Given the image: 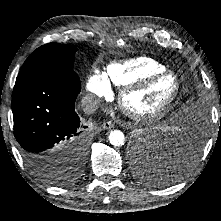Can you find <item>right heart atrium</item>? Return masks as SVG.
<instances>
[{"mask_svg":"<svg viewBox=\"0 0 221 221\" xmlns=\"http://www.w3.org/2000/svg\"><path fill=\"white\" fill-rule=\"evenodd\" d=\"M86 88L95 98L107 97L111 93L110 84L105 76L98 71H94L89 77Z\"/></svg>","mask_w":221,"mask_h":221,"instance_id":"obj_1","label":"right heart atrium"}]
</instances>
